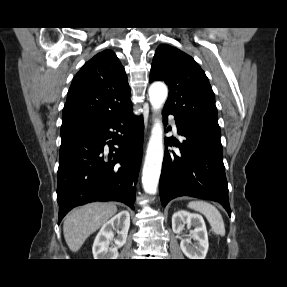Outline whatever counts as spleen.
<instances>
[{"label":"spleen","instance_id":"spleen-1","mask_svg":"<svg viewBox=\"0 0 287 287\" xmlns=\"http://www.w3.org/2000/svg\"><path fill=\"white\" fill-rule=\"evenodd\" d=\"M188 207L202 213L207 218L215 234L225 235L223 218L215 206L205 201H192L189 202Z\"/></svg>","mask_w":287,"mask_h":287}]
</instances>
